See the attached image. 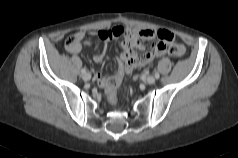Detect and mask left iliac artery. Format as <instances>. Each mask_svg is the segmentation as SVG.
<instances>
[{"label": "left iliac artery", "mask_w": 238, "mask_h": 158, "mask_svg": "<svg viewBox=\"0 0 238 158\" xmlns=\"http://www.w3.org/2000/svg\"><path fill=\"white\" fill-rule=\"evenodd\" d=\"M155 77H156V79H158L160 77L158 72H155Z\"/></svg>", "instance_id": "44dca946"}]
</instances>
